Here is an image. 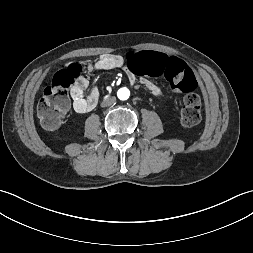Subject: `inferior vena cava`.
Listing matches in <instances>:
<instances>
[{
    "mask_svg": "<svg viewBox=\"0 0 253 253\" xmlns=\"http://www.w3.org/2000/svg\"><path fill=\"white\" fill-rule=\"evenodd\" d=\"M115 101H116V98H115V97H110V98L104 100V101L101 103V106H102V107L110 106V105H112Z\"/></svg>",
    "mask_w": 253,
    "mask_h": 253,
    "instance_id": "inferior-vena-cava-1",
    "label": "inferior vena cava"
}]
</instances>
